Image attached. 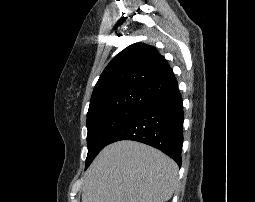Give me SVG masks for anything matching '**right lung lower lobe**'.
Instances as JSON below:
<instances>
[{"label":"right lung lower lobe","mask_w":255,"mask_h":202,"mask_svg":"<svg viewBox=\"0 0 255 202\" xmlns=\"http://www.w3.org/2000/svg\"><path fill=\"white\" fill-rule=\"evenodd\" d=\"M183 120V100L177 89L140 108L108 144L120 140L142 142L161 150L181 166Z\"/></svg>","instance_id":"obj_1"}]
</instances>
